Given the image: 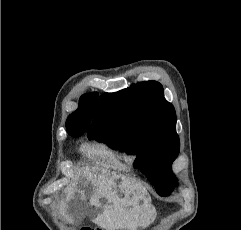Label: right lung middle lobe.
<instances>
[{
	"instance_id": "right-lung-middle-lobe-1",
	"label": "right lung middle lobe",
	"mask_w": 241,
	"mask_h": 230,
	"mask_svg": "<svg viewBox=\"0 0 241 230\" xmlns=\"http://www.w3.org/2000/svg\"><path fill=\"white\" fill-rule=\"evenodd\" d=\"M84 132H85L84 130H77L69 134L73 137H78V136H81Z\"/></svg>"
}]
</instances>
